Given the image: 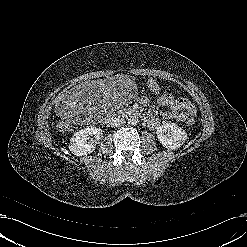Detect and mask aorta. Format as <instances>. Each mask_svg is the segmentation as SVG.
Returning <instances> with one entry per match:
<instances>
[{
  "label": "aorta",
  "mask_w": 247,
  "mask_h": 247,
  "mask_svg": "<svg viewBox=\"0 0 247 247\" xmlns=\"http://www.w3.org/2000/svg\"><path fill=\"white\" fill-rule=\"evenodd\" d=\"M127 121L129 125L136 126L139 122V119L137 116H130Z\"/></svg>",
  "instance_id": "obj_1"
}]
</instances>
